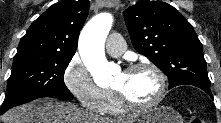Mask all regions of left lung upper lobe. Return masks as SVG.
Masks as SVG:
<instances>
[{"mask_svg": "<svg viewBox=\"0 0 221 123\" xmlns=\"http://www.w3.org/2000/svg\"><path fill=\"white\" fill-rule=\"evenodd\" d=\"M123 15L134 48L167 75L169 89L184 84L210 87L202 44L174 7L143 0Z\"/></svg>", "mask_w": 221, "mask_h": 123, "instance_id": "1", "label": "left lung upper lobe"}]
</instances>
